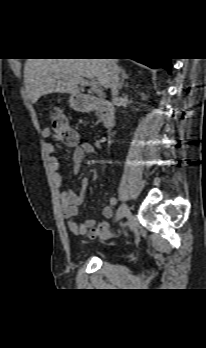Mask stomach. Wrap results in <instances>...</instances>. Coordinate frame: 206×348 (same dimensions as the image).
<instances>
[{
	"label": "stomach",
	"mask_w": 206,
	"mask_h": 348,
	"mask_svg": "<svg viewBox=\"0 0 206 348\" xmlns=\"http://www.w3.org/2000/svg\"><path fill=\"white\" fill-rule=\"evenodd\" d=\"M70 105L75 108V109H81L82 108V103L81 101L79 100L78 96L77 95H72L70 97Z\"/></svg>",
	"instance_id": "stomach-1"
}]
</instances>
